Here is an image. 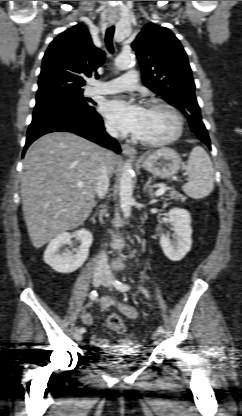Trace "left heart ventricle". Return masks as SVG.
<instances>
[{
	"label": "left heart ventricle",
	"mask_w": 242,
	"mask_h": 416,
	"mask_svg": "<svg viewBox=\"0 0 242 416\" xmlns=\"http://www.w3.org/2000/svg\"><path fill=\"white\" fill-rule=\"evenodd\" d=\"M174 128L175 120L166 109L147 108L135 135L144 140L157 141L170 136Z\"/></svg>",
	"instance_id": "b2bd125f"
}]
</instances>
